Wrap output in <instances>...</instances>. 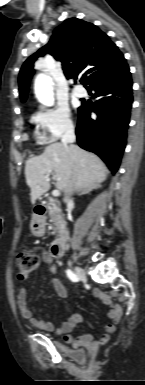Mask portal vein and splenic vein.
Returning <instances> with one entry per match:
<instances>
[{
	"mask_svg": "<svg viewBox=\"0 0 145 385\" xmlns=\"http://www.w3.org/2000/svg\"><path fill=\"white\" fill-rule=\"evenodd\" d=\"M46 180H50V177L47 176V177H46ZM59 194H60L59 190H53V192H52V195L55 196V197H56V196H59Z\"/></svg>",
	"mask_w": 145,
	"mask_h": 385,
	"instance_id": "obj_1",
	"label": "portal vein and splenic vein"
}]
</instances>
